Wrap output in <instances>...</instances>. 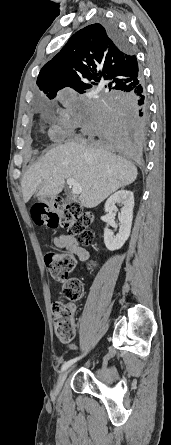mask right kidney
<instances>
[{
  "instance_id": "1",
  "label": "right kidney",
  "mask_w": 171,
  "mask_h": 445,
  "mask_svg": "<svg viewBox=\"0 0 171 445\" xmlns=\"http://www.w3.org/2000/svg\"><path fill=\"white\" fill-rule=\"evenodd\" d=\"M117 203L123 205L121 213L119 214V233L114 235V233L108 229V226H106L104 230V243L110 251L120 249L130 236L134 208L133 192L121 189L107 199L105 212L108 218L115 216L117 212L115 204Z\"/></svg>"
}]
</instances>
